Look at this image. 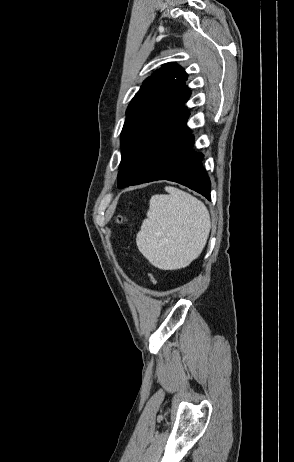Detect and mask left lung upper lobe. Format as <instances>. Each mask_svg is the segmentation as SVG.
Returning <instances> with one entry per match:
<instances>
[{
	"label": "left lung upper lobe",
	"instance_id": "left-lung-upper-lobe-1",
	"mask_svg": "<svg viewBox=\"0 0 294 462\" xmlns=\"http://www.w3.org/2000/svg\"><path fill=\"white\" fill-rule=\"evenodd\" d=\"M186 80L184 69L175 63H166L143 82L126 111L121 132L120 167L153 109L157 105L165 106L179 100L187 89Z\"/></svg>",
	"mask_w": 294,
	"mask_h": 462
}]
</instances>
